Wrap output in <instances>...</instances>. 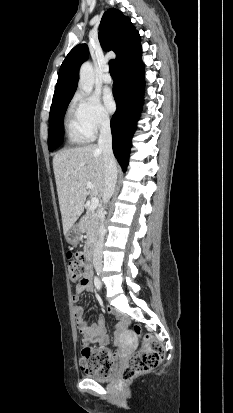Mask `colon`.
I'll return each mask as SVG.
<instances>
[{
    "label": "colon",
    "mask_w": 233,
    "mask_h": 413,
    "mask_svg": "<svg viewBox=\"0 0 233 413\" xmlns=\"http://www.w3.org/2000/svg\"><path fill=\"white\" fill-rule=\"evenodd\" d=\"M68 271L71 282L77 283L85 279L90 273L88 262L82 255L70 256ZM137 334H142V327L135 325ZM164 348L162 344L151 334H145L141 348L131 357L122 372L125 381L131 380L137 375L146 373L156 368L162 361ZM82 364L86 372L106 375L113 369L112 353L106 349L93 350L87 345L82 349Z\"/></svg>",
    "instance_id": "obj_1"
}]
</instances>
